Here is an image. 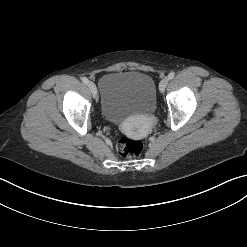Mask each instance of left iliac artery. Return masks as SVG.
I'll return each instance as SVG.
<instances>
[{"instance_id": "1", "label": "left iliac artery", "mask_w": 247, "mask_h": 247, "mask_svg": "<svg viewBox=\"0 0 247 247\" xmlns=\"http://www.w3.org/2000/svg\"><path fill=\"white\" fill-rule=\"evenodd\" d=\"M174 76H175V73H174V72H170V73L168 74V78H169V79H173Z\"/></svg>"}]
</instances>
